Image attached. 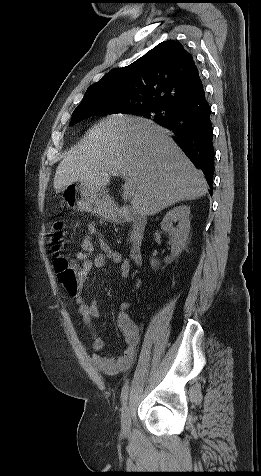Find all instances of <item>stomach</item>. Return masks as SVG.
<instances>
[{"mask_svg":"<svg viewBox=\"0 0 261 476\" xmlns=\"http://www.w3.org/2000/svg\"><path fill=\"white\" fill-rule=\"evenodd\" d=\"M62 193L68 207L73 210L91 212L105 219L115 217L113 201L104 188L74 182L66 186Z\"/></svg>","mask_w":261,"mask_h":476,"instance_id":"0dacf381","label":"stomach"}]
</instances>
